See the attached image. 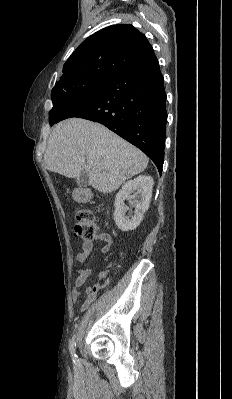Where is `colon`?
Returning a JSON list of instances; mask_svg holds the SVG:
<instances>
[{
  "label": "colon",
  "instance_id": "5ec220e1",
  "mask_svg": "<svg viewBox=\"0 0 232 399\" xmlns=\"http://www.w3.org/2000/svg\"><path fill=\"white\" fill-rule=\"evenodd\" d=\"M100 211V208H97ZM84 219V223H82ZM74 231L76 235L74 238L89 240L93 237V232H96L95 224L92 221V214H88L86 211H78L77 216L74 217ZM105 281H113V276L105 275ZM93 298H98V285H93Z\"/></svg>",
  "mask_w": 232,
  "mask_h": 399
}]
</instances>
